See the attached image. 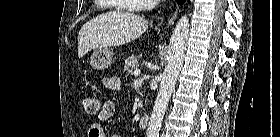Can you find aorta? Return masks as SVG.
Returning <instances> with one entry per match:
<instances>
[{"mask_svg": "<svg viewBox=\"0 0 280 137\" xmlns=\"http://www.w3.org/2000/svg\"><path fill=\"white\" fill-rule=\"evenodd\" d=\"M189 31V19L183 15L178 20L170 39L167 65L161 77L160 89L148 123L147 137H159L163 116L183 64Z\"/></svg>", "mask_w": 280, "mask_h": 137, "instance_id": "1", "label": "aorta"}]
</instances>
